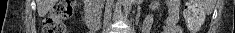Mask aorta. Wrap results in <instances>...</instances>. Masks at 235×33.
Instances as JSON below:
<instances>
[{"mask_svg":"<svg viewBox=\"0 0 235 33\" xmlns=\"http://www.w3.org/2000/svg\"><path fill=\"white\" fill-rule=\"evenodd\" d=\"M133 0H123L124 12L128 14L132 9Z\"/></svg>","mask_w":235,"mask_h":33,"instance_id":"1","label":"aorta"}]
</instances>
